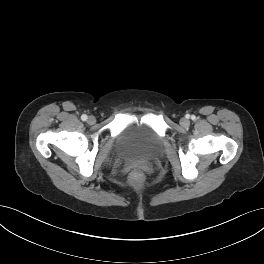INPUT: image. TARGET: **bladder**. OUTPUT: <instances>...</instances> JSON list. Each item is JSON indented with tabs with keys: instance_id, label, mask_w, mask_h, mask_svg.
<instances>
[{
	"instance_id": "obj_1",
	"label": "bladder",
	"mask_w": 264,
	"mask_h": 264,
	"mask_svg": "<svg viewBox=\"0 0 264 264\" xmlns=\"http://www.w3.org/2000/svg\"><path fill=\"white\" fill-rule=\"evenodd\" d=\"M162 150V140L148 125H132L116 138L110 159L121 163L152 160Z\"/></svg>"
}]
</instances>
